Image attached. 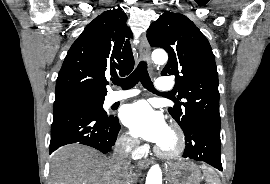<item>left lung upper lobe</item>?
Segmentation results:
<instances>
[{
	"label": "left lung upper lobe",
	"mask_w": 270,
	"mask_h": 184,
	"mask_svg": "<svg viewBox=\"0 0 270 184\" xmlns=\"http://www.w3.org/2000/svg\"><path fill=\"white\" fill-rule=\"evenodd\" d=\"M147 39L168 52L162 76H175V93L184 102L168 111L184 132L195 125L220 128L218 73L207 38L185 15L166 11L153 22Z\"/></svg>",
	"instance_id": "1"
}]
</instances>
